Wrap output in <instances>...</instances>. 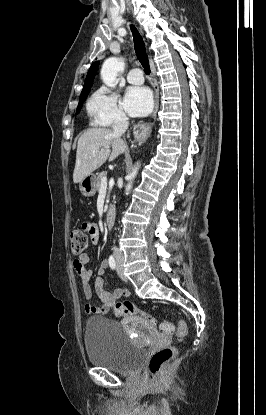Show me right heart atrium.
I'll return each instance as SVG.
<instances>
[{"mask_svg": "<svg viewBox=\"0 0 266 415\" xmlns=\"http://www.w3.org/2000/svg\"><path fill=\"white\" fill-rule=\"evenodd\" d=\"M86 108L93 123L99 126H110L127 120L117 95L106 87L99 88L91 95Z\"/></svg>", "mask_w": 266, "mask_h": 415, "instance_id": "obj_1", "label": "right heart atrium"}]
</instances>
